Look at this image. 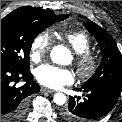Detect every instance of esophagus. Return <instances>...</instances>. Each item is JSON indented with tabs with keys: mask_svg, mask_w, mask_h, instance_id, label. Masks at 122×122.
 Wrapping results in <instances>:
<instances>
[{
	"mask_svg": "<svg viewBox=\"0 0 122 122\" xmlns=\"http://www.w3.org/2000/svg\"><path fill=\"white\" fill-rule=\"evenodd\" d=\"M41 91H42V92H47V93H54V92H55L54 90L48 89V88H45V87H42V88H41Z\"/></svg>",
	"mask_w": 122,
	"mask_h": 122,
	"instance_id": "34e87169",
	"label": "esophagus"
}]
</instances>
